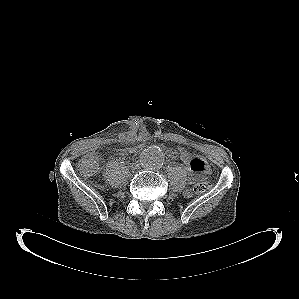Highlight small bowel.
<instances>
[{
  "label": "small bowel",
  "mask_w": 299,
  "mask_h": 299,
  "mask_svg": "<svg viewBox=\"0 0 299 299\" xmlns=\"http://www.w3.org/2000/svg\"><path fill=\"white\" fill-rule=\"evenodd\" d=\"M140 149V146H130L124 149H121L120 153H136ZM189 170V181L194 183L200 178H203L208 173V166L205 160L199 156L194 155L193 160L187 166Z\"/></svg>",
  "instance_id": "c3829d8e"
}]
</instances>
